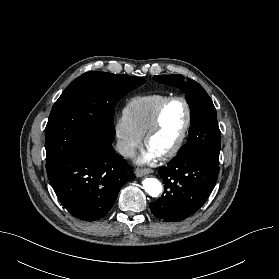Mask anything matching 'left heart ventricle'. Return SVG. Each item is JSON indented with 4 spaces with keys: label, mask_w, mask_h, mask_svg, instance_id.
<instances>
[{
    "label": "left heart ventricle",
    "mask_w": 279,
    "mask_h": 279,
    "mask_svg": "<svg viewBox=\"0 0 279 279\" xmlns=\"http://www.w3.org/2000/svg\"><path fill=\"white\" fill-rule=\"evenodd\" d=\"M186 121L183 102L170 103L162 116L161 125L149 141V149L160 155L166 152L179 138Z\"/></svg>",
    "instance_id": "obj_1"
}]
</instances>
